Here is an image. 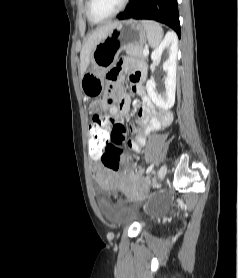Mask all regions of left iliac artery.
<instances>
[{
  "label": "left iliac artery",
  "mask_w": 238,
  "mask_h": 278,
  "mask_svg": "<svg viewBox=\"0 0 238 278\" xmlns=\"http://www.w3.org/2000/svg\"><path fill=\"white\" fill-rule=\"evenodd\" d=\"M153 167H154V164H151V165L147 168L146 174L150 173V172L152 171Z\"/></svg>",
  "instance_id": "obj_1"
}]
</instances>
